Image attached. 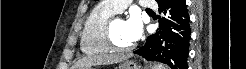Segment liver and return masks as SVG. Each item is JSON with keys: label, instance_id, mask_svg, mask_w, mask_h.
<instances>
[{"label": "liver", "instance_id": "1", "mask_svg": "<svg viewBox=\"0 0 246 69\" xmlns=\"http://www.w3.org/2000/svg\"><path fill=\"white\" fill-rule=\"evenodd\" d=\"M127 58H128L127 55H119V54L88 56L79 60L73 66V69L90 68L92 65H110L114 63H120L126 60Z\"/></svg>", "mask_w": 246, "mask_h": 69}]
</instances>
